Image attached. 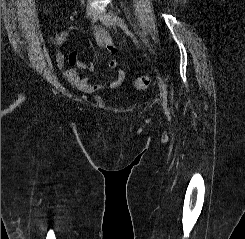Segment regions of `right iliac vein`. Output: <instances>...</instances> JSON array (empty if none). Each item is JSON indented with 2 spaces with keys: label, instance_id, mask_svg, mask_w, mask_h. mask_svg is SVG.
I'll return each mask as SVG.
<instances>
[{
  "label": "right iliac vein",
  "instance_id": "right-iliac-vein-1",
  "mask_svg": "<svg viewBox=\"0 0 245 239\" xmlns=\"http://www.w3.org/2000/svg\"><path fill=\"white\" fill-rule=\"evenodd\" d=\"M95 14V11L92 7L88 6L87 9H86V16L88 18H92Z\"/></svg>",
  "mask_w": 245,
  "mask_h": 239
}]
</instances>
